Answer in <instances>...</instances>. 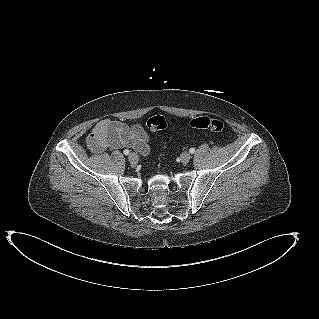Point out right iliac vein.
<instances>
[{"label": "right iliac vein", "mask_w": 319, "mask_h": 319, "mask_svg": "<svg viewBox=\"0 0 319 319\" xmlns=\"http://www.w3.org/2000/svg\"><path fill=\"white\" fill-rule=\"evenodd\" d=\"M128 159L131 163L136 164L139 160V157L136 153H130Z\"/></svg>", "instance_id": "obj_1"}]
</instances>
